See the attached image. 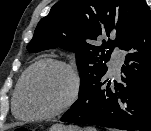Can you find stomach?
Returning a JSON list of instances; mask_svg holds the SVG:
<instances>
[{
	"label": "stomach",
	"mask_w": 151,
	"mask_h": 131,
	"mask_svg": "<svg viewBox=\"0 0 151 131\" xmlns=\"http://www.w3.org/2000/svg\"><path fill=\"white\" fill-rule=\"evenodd\" d=\"M50 131H82L79 127L73 125L55 124L50 128Z\"/></svg>",
	"instance_id": "stomach-1"
}]
</instances>
